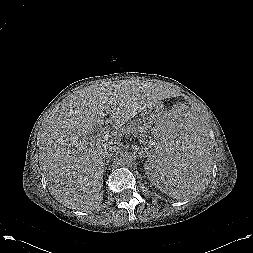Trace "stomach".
<instances>
[{
	"instance_id": "0dacf381",
	"label": "stomach",
	"mask_w": 253,
	"mask_h": 253,
	"mask_svg": "<svg viewBox=\"0 0 253 253\" xmlns=\"http://www.w3.org/2000/svg\"><path fill=\"white\" fill-rule=\"evenodd\" d=\"M161 110L156 106H149L140 112V118L146 123H154V121L161 115Z\"/></svg>"
}]
</instances>
